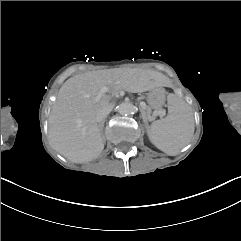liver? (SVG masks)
Masks as SVG:
<instances>
[{
    "instance_id": "1",
    "label": "liver",
    "mask_w": 241,
    "mask_h": 241,
    "mask_svg": "<svg viewBox=\"0 0 241 241\" xmlns=\"http://www.w3.org/2000/svg\"><path fill=\"white\" fill-rule=\"evenodd\" d=\"M158 73L138 69L85 72L67 79L58 91L49 116V144L74 163L89 162L104 149L102 125L96 121L100 111L113 107L111 96L124 90L141 93L151 90Z\"/></svg>"
}]
</instances>
